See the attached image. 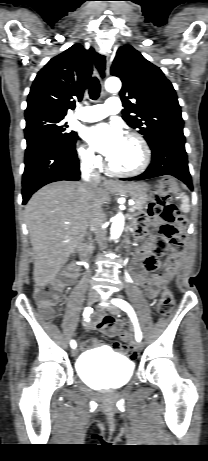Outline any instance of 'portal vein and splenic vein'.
<instances>
[{"mask_svg":"<svg viewBox=\"0 0 208 461\" xmlns=\"http://www.w3.org/2000/svg\"><path fill=\"white\" fill-rule=\"evenodd\" d=\"M134 204H135L134 202L129 201V205H130L129 210H130V211H133V206H134Z\"/></svg>","mask_w":208,"mask_h":461,"instance_id":"1","label":"portal vein and splenic vein"}]
</instances>
